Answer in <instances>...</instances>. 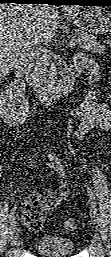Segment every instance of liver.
I'll return each instance as SVG.
<instances>
[{"mask_svg":"<svg viewBox=\"0 0 111 257\" xmlns=\"http://www.w3.org/2000/svg\"><path fill=\"white\" fill-rule=\"evenodd\" d=\"M58 25V13L49 6H0V73L18 69L35 46L50 39Z\"/></svg>","mask_w":111,"mask_h":257,"instance_id":"obj_1","label":"liver"}]
</instances>
